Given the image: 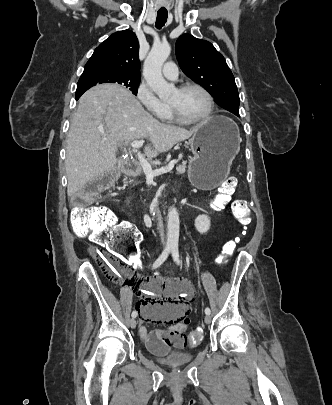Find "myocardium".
I'll return each instance as SVG.
<instances>
[{
  "mask_svg": "<svg viewBox=\"0 0 332 405\" xmlns=\"http://www.w3.org/2000/svg\"><path fill=\"white\" fill-rule=\"evenodd\" d=\"M188 89H197L206 96V98L208 100V109H207L206 113L197 119H193V120L186 119L180 114L179 110L173 104L169 103L170 112H171L174 120H176L177 122L182 123V124L196 125V124L204 123L205 121L209 120L211 118V116L213 115L214 108H215L214 98H213L212 94L204 86H202L198 83L188 82V83H184V84L180 85L177 88V90L180 92L186 91Z\"/></svg>",
  "mask_w": 332,
  "mask_h": 405,
  "instance_id": "f54148a6",
  "label": "myocardium"
}]
</instances>
